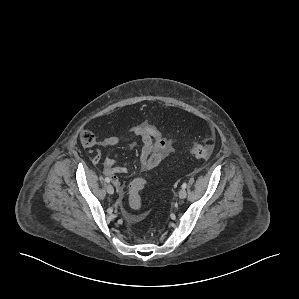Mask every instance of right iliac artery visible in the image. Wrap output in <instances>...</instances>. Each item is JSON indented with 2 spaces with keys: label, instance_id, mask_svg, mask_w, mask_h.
Instances as JSON below:
<instances>
[{
  "label": "right iliac artery",
  "instance_id": "82829eb1",
  "mask_svg": "<svg viewBox=\"0 0 299 299\" xmlns=\"http://www.w3.org/2000/svg\"><path fill=\"white\" fill-rule=\"evenodd\" d=\"M105 181H106L107 183H109V182H110V179H109L108 177H105Z\"/></svg>",
  "mask_w": 299,
  "mask_h": 299
}]
</instances>
